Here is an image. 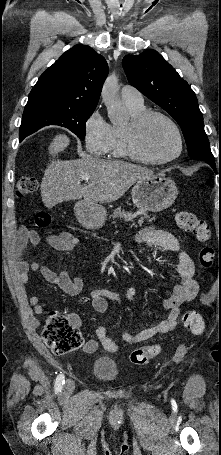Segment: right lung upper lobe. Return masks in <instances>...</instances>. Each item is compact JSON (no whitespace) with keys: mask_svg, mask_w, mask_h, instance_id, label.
Segmentation results:
<instances>
[{"mask_svg":"<svg viewBox=\"0 0 221 455\" xmlns=\"http://www.w3.org/2000/svg\"><path fill=\"white\" fill-rule=\"evenodd\" d=\"M107 74L102 55L87 45L73 46L40 76L27 105L96 108Z\"/></svg>","mask_w":221,"mask_h":455,"instance_id":"obj_1","label":"right lung upper lobe"}]
</instances>
